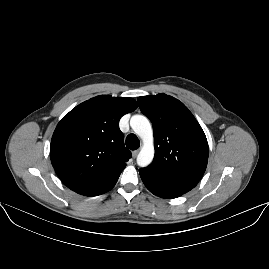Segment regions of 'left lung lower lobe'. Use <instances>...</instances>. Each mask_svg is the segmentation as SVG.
<instances>
[{"instance_id": "1", "label": "left lung lower lobe", "mask_w": 269, "mask_h": 269, "mask_svg": "<svg viewBox=\"0 0 269 269\" xmlns=\"http://www.w3.org/2000/svg\"><path fill=\"white\" fill-rule=\"evenodd\" d=\"M139 173L148 190L161 198H177L197 185L187 181L159 177L142 169L139 170Z\"/></svg>"}]
</instances>
